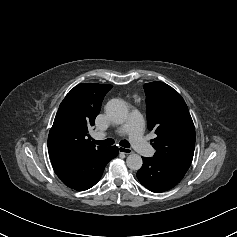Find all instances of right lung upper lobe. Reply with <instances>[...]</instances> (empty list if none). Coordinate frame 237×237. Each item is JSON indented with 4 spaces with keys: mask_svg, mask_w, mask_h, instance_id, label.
<instances>
[{
    "mask_svg": "<svg viewBox=\"0 0 237 237\" xmlns=\"http://www.w3.org/2000/svg\"><path fill=\"white\" fill-rule=\"evenodd\" d=\"M108 84H79L59 106L48 135V148H56L75 156H84L103 150L89 139L88 129L94 125L101 103L112 88Z\"/></svg>",
    "mask_w": 237,
    "mask_h": 237,
    "instance_id": "cb5924a9",
    "label": "right lung upper lobe"
}]
</instances>
